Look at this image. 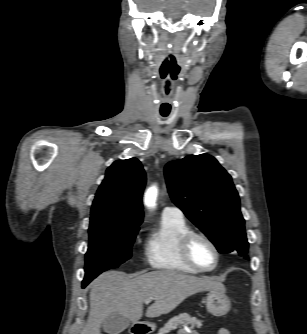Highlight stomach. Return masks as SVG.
<instances>
[{
    "mask_svg": "<svg viewBox=\"0 0 307 334\" xmlns=\"http://www.w3.org/2000/svg\"><path fill=\"white\" fill-rule=\"evenodd\" d=\"M206 308L209 313L214 316H223L227 314L231 308L230 299L225 294V288L211 290L206 297ZM149 328L153 326L147 325Z\"/></svg>",
    "mask_w": 307,
    "mask_h": 334,
    "instance_id": "1",
    "label": "stomach"
}]
</instances>
